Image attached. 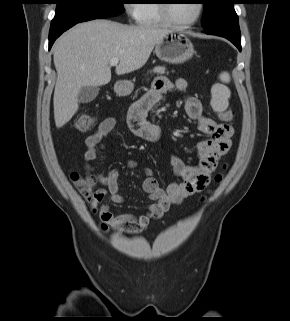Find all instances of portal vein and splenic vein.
I'll return each mask as SVG.
<instances>
[{"label":"portal vein and splenic vein","instance_id":"1","mask_svg":"<svg viewBox=\"0 0 290 321\" xmlns=\"http://www.w3.org/2000/svg\"><path fill=\"white\" fill-rule=\"evenodd\" d=\"M119 63L118 58H113L110 60V66H116Z\"/></svg>","mask_w":290,"mask_h":321}]
</instances>
